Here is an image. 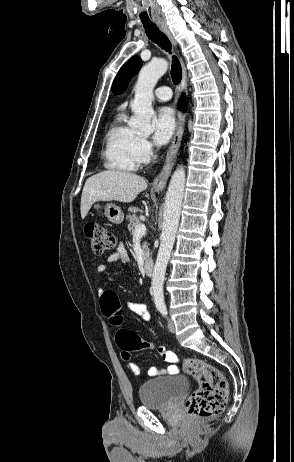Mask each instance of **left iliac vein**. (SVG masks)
<instances>
[{
	"label": "left iliac vein",
	"mask_w": 294,
	"mask_h": 462,
	"mask_svg": "<svg viewBox=\"0 0 294 462\" xmlns=\"http://www.w3.org/2000/svg\"><path fill=\"white\" fill-rule=\"evenodd\" d=\"M168 329L171 333H175V325L172 320H168Z\"/></svg>",
	"instance_id": "4c4485c4"
}]
</instances>
